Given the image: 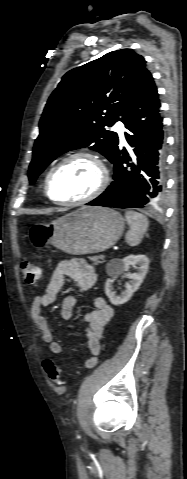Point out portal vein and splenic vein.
<instances>
[{"instance_id":"1","label":"portal vein and splenic vein","mask_w":187,"mask_h":479,"mask_svg":"<svg viewBox=\"0 0 187 479\" xmlns=\"http://www.w3.org/2000/svg\"><path fill=\"white\" fill-rule=\"evenodd\" d=\"M101 258L104 259V255H101Z\"/></svg>"}]
</instances>
